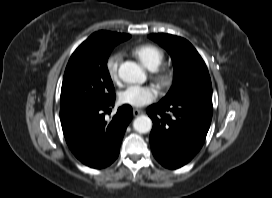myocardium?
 <instances>
[{
    "instance_id": "f54148a6",
    "label": "myocardium",
    "mask_w": 272,
    "mask_h": 198,
    "mask_svg": "<svg viewBox=\"0 0 272 198\" xmlns=\"http://www.w3.org/2000/svg\"><path fill=\"white\" fill-rule=\"evenodd\" d=\"M154 71V79L159 87L165 88L172 83V73L169 69L157 68Z\"/></svg>"
}]
</instances>
